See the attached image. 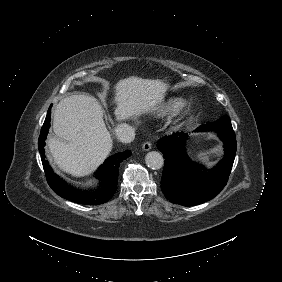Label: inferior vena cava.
Instances as JSON below:
<instances>
[{
	"label": "inferior vena cava",
	"mask_w": 282,
	"mask_h": 282,
	"mask_svg": "<svg viewBox=\"0 0 282 282\" xmlns=\"http://www.w3.org/2000/svg\"><path fill=\"white\" fill-rule=\"evenodd\" d=\"M136 129L127 124L117 125L114 129L115 137L121 142H131L135 138Z\"/></svg>",
	"instance_id": "1"
}]
</instances>
